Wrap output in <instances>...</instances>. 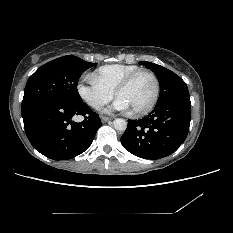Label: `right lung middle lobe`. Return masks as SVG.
<instances>
[{"label": "right lung middle lobe", "instance_id": "dd1d6c3e", "mask_svg": "<svg viewBox=\"0 0 233 233\" xmlns=\"http://www.w3.org/2000/svg\"><path fill=\"white\" fill-rule=\"evenodd\" d=\"M94 65L70 55L44 64L28 79L22 106L42 99L81 102L77 91L78 80L85 70Z\"/></svg>", "mask_w": 233, "mask_h": 233}]
</instances>
